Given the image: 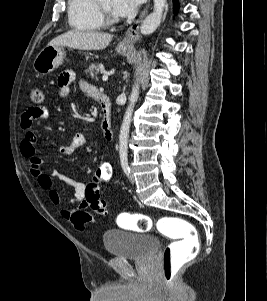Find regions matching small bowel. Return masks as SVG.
<instances>
[{
	"instance_id": "obj_1",
	"label": "small bowel",
	"mask_w": 267,
	"mask_h": 301,
	"mask_svg": "<svg viewBox=\"0 0 267 301\" xmlns=\"http://www.w3.org/2000/svg\"><path fill=\"white\" fill-rule=\"evenodd\" d=\"M75 79V74L71 70H66L58 76V93L65 98L70 94V85ZM80 89L88 96L95 97L98 89L85 80L79 81ZM49 117V110L44 106H35L27 109L21 116V128L25 135L20 144L21 154L28 159L29 169L32 176L37 179L39 186L47 191L50 201L58 205L60 204V196L53 185V178H57L62 183L73 189L72 204L77 205L75 209L64 208L60 211L61 216L69 220L78 230H85L88 223L95 220L94 216L85 211L88 206L85 201V185L84 183L63 175L58 172L47 174L43 171L42 160L36 153L37 136L33 131V122ZM86 144V137L82 133H77L72 140L59 147L62 155H72L78 148Z\"/></svg>"
}]
</instances>
